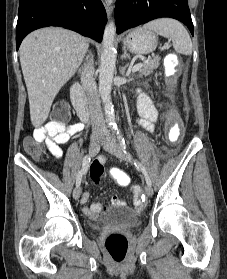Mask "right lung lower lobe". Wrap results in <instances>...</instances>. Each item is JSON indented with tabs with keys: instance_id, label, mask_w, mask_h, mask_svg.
<instances>
[{
	"instance_id": "obj_1",
	"label": "right lung lower lobe",
	"mask_w": 227,
	"mask_h": 279,
	"mask_svg": "<svg viewBox=\"0 0 227 279\" xmlns=\"http://www.w3.org/2000/svg\"><path fill=\"white\" fill-rule=\"evenodd\" d=\"M106 12L101 0H20L16 48L31 31L60 26L102 41Z\"/></svg>"
}]
</instances>
